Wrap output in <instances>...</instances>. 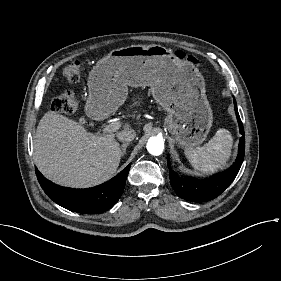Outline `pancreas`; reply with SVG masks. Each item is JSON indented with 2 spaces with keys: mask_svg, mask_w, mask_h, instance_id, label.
Segmentation results:
<instances>
[{
  "mask_svg": "<svg viewBox=\"0 0 281 281\" xmlns=\"http://www.w3.org/2000/svg\"><path fill=\"white\" fill-rule=\"evenodd\" d=\"M143 102L140 100V96L137 97V99L133 100V103L131 104V108L133 109L135 106H140V103Z\"/></svg>",
  "mask_w": 281,
  "mask_h": 281,
  "instance_id": "obj_1",
  "label": "pancreas"
}]
</instances>
